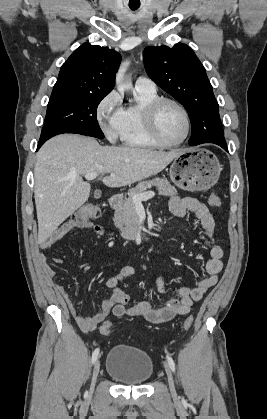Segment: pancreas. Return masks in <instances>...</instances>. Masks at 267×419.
I'll return each mask as SVG.
<instances>
[{
    "label": "pancreas",
    "instance_id": "obj_1",
    "mask_svg": "<svg viewBox=\"0 0 267 419\" xmlns=\"http://www.w3.org/2000/svg\"><path fill=\"white\" fill-rule=\"evenodd\" d=\"M155 186L160 195L176 196L177 190L170 182L164 178H154L152 180L142 181L132 188L128 193V198L119 206L114 213V224L121 231L122 237L133 239L139 227L138 215L136 213V204L133 202V196L145 193L147 188Z\"/></svg>",
    "mask_w": 267,
    "mask_h": 419
}]
</instances>
